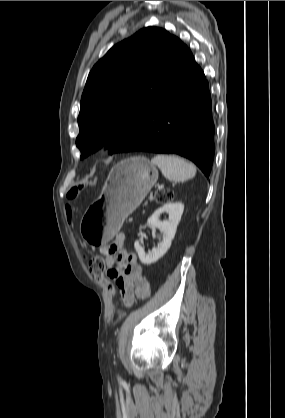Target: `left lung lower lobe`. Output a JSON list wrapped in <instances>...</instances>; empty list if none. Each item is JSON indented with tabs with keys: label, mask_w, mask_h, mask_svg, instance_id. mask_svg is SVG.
<instances>
[{
	"label": "left lung lower lobe",
	"mask_w": 285,
	"mask_h": 418,
	"mask_svg": "<svg viewBox=\"0 0 285 418\" xmlns=\"http://www.w3.org/2000/svg\"><path fill=\"white\" fill-rule=\"evenodd\" d=\"M132 151L178 154L209 176L215 153L211 92L186 45L140 134L124 152Z\"/></svg>",
	"instance_id": "1"
}]
</instances>
